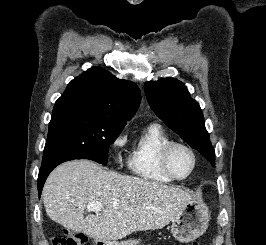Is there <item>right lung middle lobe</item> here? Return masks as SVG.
Instances as JSON below:
<instances>
[{
    "label": "right lung middle lobe",
    "mask_w": 266,
    "mask_h": 245,
    "mask_svg": "<svg viewBox=\"0 0 266 245\" xmlns=\"http://www.w3.org/2000/svg\"><path fill=\"white\" fill-rule=\"evenodd\" d=\"M127 121L91 111H72L52 116L42 164L57 158L108 162V148Z\"/></svg>",
    "instance_id": "right-lung-middle-lobe-1"
}]
</instances>
